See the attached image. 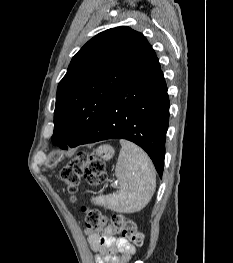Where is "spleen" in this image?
I'll list each match as a JSON object with an SVG mask.
<instances>
[{"label": "spleen", "instance_id": "spleen-1", "mask_svg": "<svg viewBox=\"0 0 233 263\" xmlns=\"http://www.w3.org/2000/svg\"><path fill=\"white\" fill-rule=\"evenodd\" d=\"M121 150L116 164V177L120 190L92 198L96 205L128 213L144 208L156 187V175L148 155L137 145L120 140Z\"/></svg>", "mask_w": 233, "mask_h": 263}]
</instances>
